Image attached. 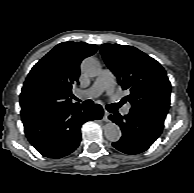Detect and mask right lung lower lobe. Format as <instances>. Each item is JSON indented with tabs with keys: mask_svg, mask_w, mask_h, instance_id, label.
Segmentation results:
<instances>
[{
	"mask_svg": "<svg viewBox=\"0 0 194 193\" xmlns=\"http://www.w3.org/2000/svg\"><path fill=\"white\" fill-rule=\"evenodd\" d=\"M102 116L103 109L99 104L91 108L77 104L23 120V124L29 142L38 152L49 158H61L72 153L80 144L82 124Z\"/></svg>",
	"mask_w": 194,
	"mask_h": 193,
	"instance_id": "1",
	"label": "right lung lower lobe"
}]
</instances>
